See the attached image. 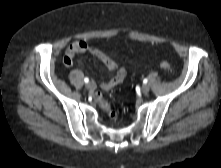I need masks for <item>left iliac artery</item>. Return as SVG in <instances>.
<instances>
[{
    "label": "left iliac artery",
    "instance_id": "1",
    "mask_svg": "<svg viewBox=\"0 0 221 168\" xmlns=\"http://www.w3.org/2000/svg\"><path fill=\"white\" fill-rule=\"evenodd\" d=\"M147 82H148V80H147V79H144V80H143V83H144V84H146Z\"/></svg>",
    "mask_w": 221,
    "mask_h": 168
}]
</instances>
